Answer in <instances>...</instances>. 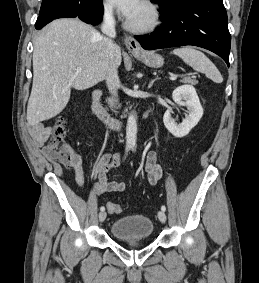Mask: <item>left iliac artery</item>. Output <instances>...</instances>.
Masks as SVG:
<instances>
[{"label":"left iliac artery","instance_id":"44dca946","mask_svg":"<svg viewBox=\"0 0 259 283\" xmlns=\"http://www.w3.org/2000/svg\"><path fill=\"white\" fill-rule=\"evenodd\" d=\"M161 210L165 212L166 211V207L164 205H162Z\"/></svg>","mask_w":259,"mask_h":283}]
</instances>
